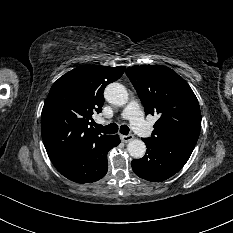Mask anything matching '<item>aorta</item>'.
<instances>
[{
	"mask_svg": "<svg viewBox=\"0 0 233 233\" xmlns=\"http://www.w3.org/2000/svg\"><path fill=\"white\" fill-rule=\"evenodd\" d=\"M105 99L113 105L123 106L128 101L126 88L119 83L109 84L104 91ZM127 151L133 158L139 159L145 155L146 145L142 140H131L127 145Z\"/></svg>",
	"mask_w": 233,
	"mask_h": 233,
	"instance_id": "obj_1",
	"label": "aorta"
}]
</instances>
